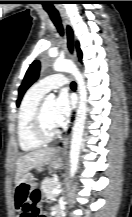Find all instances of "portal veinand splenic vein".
<instances>
[{"label":"portal vein and splenic vein","instance_id":"18ae733b","mask_svg":"<svg viewBox=\"0 0 132 217\" xmlns=\"http://www.w3.org/2000/svg\"><path fill=\"white\" fill-rule=\"evenodd\" d=\"M61 189L58 187V188H56V189H54L53 191H52V193L53 194H59V193H61Z\"/></svg>","mask_w":132,"mask_h":217}]
</instances>
